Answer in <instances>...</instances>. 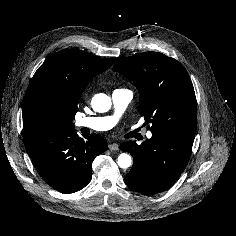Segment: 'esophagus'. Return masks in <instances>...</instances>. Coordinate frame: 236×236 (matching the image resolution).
<instances>
[{
    "instance_id": "34e87169",
    "label": "esophagus",
    "mask_w": 236,
    "mask_h": 236,
    "mask_svg": "<svg viewBox=\"0 0 236 236\" xmlns=\"http://www.w3.org/2000/svg\"><path fill=\"white\" fill-rule=\"evenodd\" d=\"M108 148H109V150H111V151H116V150L119 149V145H118L117 143H110V144L108 145Z\"/></svg>"
}]
</instances>
